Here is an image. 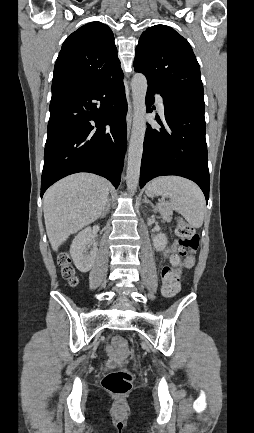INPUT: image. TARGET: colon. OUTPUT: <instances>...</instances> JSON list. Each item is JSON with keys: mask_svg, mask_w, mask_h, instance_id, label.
Returning <instances> with one entry per match:
<instances>
[{"mask_svg": "<svg viewBox=\"0 0 254 433\" xmlns=\"http://www.w3.org/2000/svg\"><path fill=\"white\" fill-rule=\"evenodd\" d=\"M177 235L180 239V249L178 253L171 258V265H166L161 271L163 282V293L167 297H174L180 290V283L176 271V267L182 264L184 259L191 256L192 252L198 247L199 237L195 229L182 220H178ZM58 262L62 267V275L64 279L71 285L75 286L78 283V278L75 270L71 265L69 255L63 253L58 257ZM114 345L119 350H124L126 342L122 337L114 339ZM132 375L123 370H116L107 373L102 380L103 388L114 396H125L132 388Z\"/></svg>", "mask_w": 254, "mask_h": 433, "instance_id": "5ec220e1", "label": "colon"}]
</instances>
